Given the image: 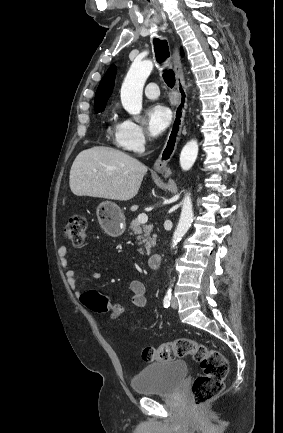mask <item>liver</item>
Instances as JSON below:
<instances>
[{"mask_svg":"<svg viewBox=\"0 0 283 433\" xmlns=\"http://www.w3.org/2000/svg\"><path fill=\"white\" fill-rule=\"evenodd\" d=\"M146 172L145 164L122 150L92 146L77 154L71 166L69 184L77 196L129 200L137 194Z\"/></svg>","mask_w":283,"mask_h":433,"instance_id":"obj_1","label":"liver"}]
</instances>
